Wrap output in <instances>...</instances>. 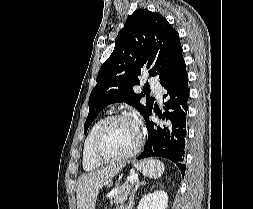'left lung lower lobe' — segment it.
<instances>
[{
	"label": "left lung lower lobe",
	"mask_w": 253,
	"mask_h": 209,
	"mask_svg": "<svg viewBox=\"0 0 253 209\" xmlns=\"http://www.w3.org/2000/svg\"><path fill=\"white\" fill-rule=\"evenodd\" d=\"M166 90L165 112L155 110L163 121L157 124L147 121L148 139L144 151L137 159L164 157L174 162L182 175L185 172L184 149L186 141V121L188 112V74L184 59L179 61L170 74L160 82Z\"/></svg>",
	"instance_id": "left-lung-lower-lobe-1"
}]
</instances>
